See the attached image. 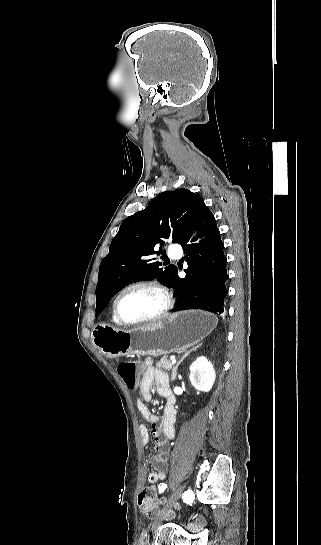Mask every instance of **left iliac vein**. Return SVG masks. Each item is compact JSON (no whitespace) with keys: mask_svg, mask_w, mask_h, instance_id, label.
I'll return each instance as SVG.
<instances>
[{"mask_svg":"<svg viewBox=\"0 0 321 545\" xmlns=\"http://www.w3.org/2000/svg\"><path fill=\"white\" fill-rule=\"evenodd\" d=\"M183 489H184L183 486H179L177 489H175V491L172 493L171 497L169 498V501H168V503L166 505V508H165V512H167L175 504V502L180 498V496L182 495ZM165 512L163 514H161L154 521V523H153V530L154 531H157L159 526L163 522Z\"/></svg>","mask_w":321,"mask_h":545,"instance_id":"left-iliac-vein-1","label":"left iliac vein"}]
</instances>
